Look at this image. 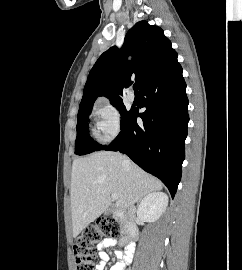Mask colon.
I'll list each match as a JSON object with an SVG mask.
<instances>
[{
	"mask_svg": "<svg viewBox=\"0 0 242 270\" xmlns=\"http://www.w3.org/2000/svg\"><path fill=\"white\" fill-rule=\"evenodd\" d=\"M121 235L119 222L112 218L98 221L86 228L73 243L76 270L95 269V247L106 238H117Z\"/></svg>",
	"mask_w": 242,
	"mask_h": 270,
	"instance_id": "1",
	"label": "colon"
}]
</instances>
